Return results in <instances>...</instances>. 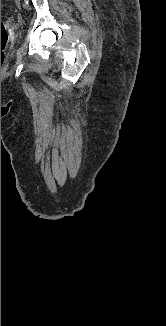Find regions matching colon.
Instances as JSON below:
<instances>
[{
    "label": "colon",
    "instance_id": "1",
    "mask_svg": "<svg viewBox=\"0 0 166 326\" xmlns=\"http://www.w3.org/2000/svg\"><path fill=\"white\" fill-rule=\"evenodd\" d=\"M7 41H8L7 30L4 26V23L1 21V67L3 66L5 60L4 50L6 48Z\"/></svg>",
    "mask_w": 166,
    "mask_h": 326
}]
</instances>
